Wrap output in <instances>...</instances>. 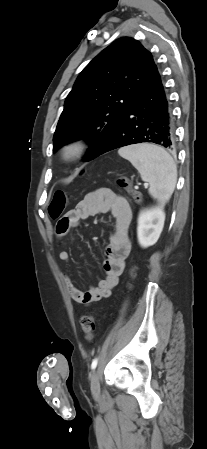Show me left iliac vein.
Instances as JSON below:
<instances>
[{"mask_svg":"<svg viewBox=\"0 0 207 449\" xmlns=\"http://www.w3.org/2000/svg\"><path fill=\"white\" fill-rule=\"evenodd\" d=\"M100 372L99 370H95L92 372L90 376L91 384V393L94 397H98L100 395Z\"/></svg>","mask_w":207,"mask_h":449,"instance_id":"4c4485c4","label":"left iliac vein"}]
</instances>
